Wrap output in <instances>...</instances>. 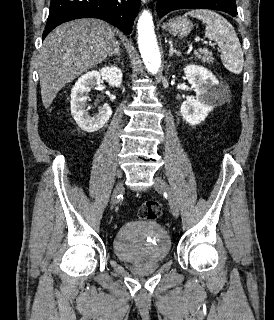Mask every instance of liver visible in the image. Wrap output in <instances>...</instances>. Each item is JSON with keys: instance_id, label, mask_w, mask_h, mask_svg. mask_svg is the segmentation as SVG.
<instances>
[{"instance_id": "6515ba94", "label": "liver", "mask_w": 274, "mask_h": 320, "mask_svg": "<svg viewBox=\"0 0 274 320\" xmlns=\"http://www.w3.org/2000/svg\"><path fill=\"white\" fill-rule=\"evenodd\" d=\"M115 44V32L103 20L84 18L55 28L45 38L39 60L45 110L68 82L102 64L112 54Z\"/></svg>"}]
</instances>
